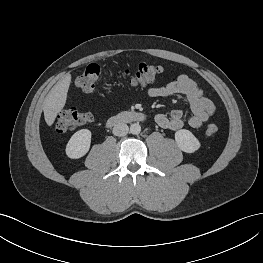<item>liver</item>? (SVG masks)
<instances>
[{
    "mask_svg": "<svg viewBox=\"0 0 263 263\" xmlns=\"http://www.w3.org/2000/svg\"><path fill=\"white\" fill-rule=\"evenodd\" d=\"M71 83V74H66L50 90L44 100L43 112L45 122L52 126L57 114L62 111L66 104L67 94Z\"/></svg>",
    "mask_w": 263,
    "mask_h": 263,
    "instance_id": "liver-1",
    "label": "liver"
}]
</instances>
